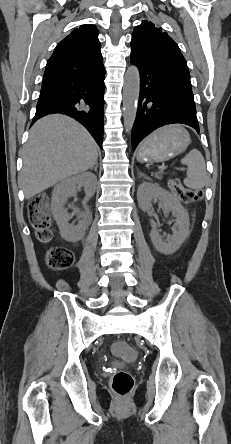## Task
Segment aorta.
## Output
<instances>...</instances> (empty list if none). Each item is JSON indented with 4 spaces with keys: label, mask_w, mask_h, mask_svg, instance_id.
<instances>
[{
    "label": "aorta",
    "mask_w": 231,
    "mask_h": 444,
    "mask_svg": "<svg viewBox=\"0 0 231 444\" xmlns=\"http://www.w3.org/2000/svg\"><path fill=\"white\" fill-rule=\"evenodd\" d=\"M140 92V75L136 66L128 67L123 86L124 126L131 130L135 122Z\"/></svg>",
    "instance_id": "1"
}]
</instances>
